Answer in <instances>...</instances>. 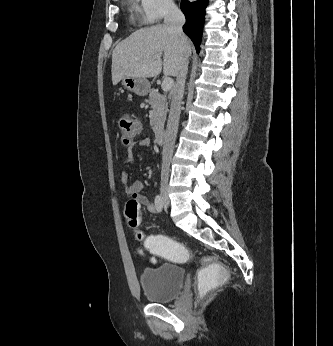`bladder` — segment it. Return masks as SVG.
<instances>
[{"instance_id":"bladder-1","label":"bladder","mask_w":333,"mask_h":346,"mask_svg":"<svg viewBox=\"0 0 333 346\" xmlns=\"http://www.w3.org/2000/svg\"><path fill=\"white\" fill-rule=\"evenodd\" d=\"M184 277V270L180 266L165 263L156 268L143 269L140 285L152 303H165L180 293Z\"/></svg>"}]
</instances>
